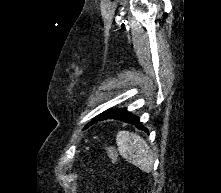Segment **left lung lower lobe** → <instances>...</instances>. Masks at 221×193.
I'll return each mask as SVG.
<instances>
[{"label": "left lung lower lobe", "mask_w": 221, "mask_h": 193, "mask_svg": "<svg viewBox=\"0 0 221 193\" xmlns=\"http://www.w3.org/2000/svg\"><path fill=\"white\" fill-rule=\"evenodd\" d=\"M105 119H116V120H121L126 123H131L134 124L137 128L144 130L146 132L147 128L144 127L139 120V117L131 114L130 112L127 111L126 108H118V109H110L105 111L103 114L98 116L93 122H96L98 120H105Z\"/></svg>", "instance_id": "0a47b994"}]
</instances>
